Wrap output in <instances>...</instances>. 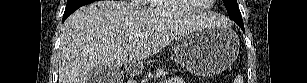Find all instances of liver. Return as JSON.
Listing matches in <instances>:
<instances>
[{"label": "liver", "instance_id": "1", "mask_svg": "<svg viewBox=\"0 0 307 83\" xmlns=\"http://www.w3.org/2000/svg\"><path fill=\"white\" fill-rule=\"evenodd\" d=\"M217 22L210 13L144 10L125 1L101 0L83 6L63 25L59 83H90L95 67L120 69L128 59L139 65L179 36Z\"/></svg>", "mask_w": 307, "mask_h": 83}]
</instances>
